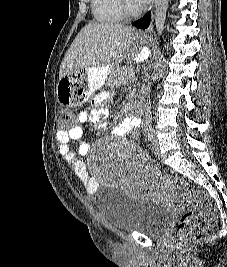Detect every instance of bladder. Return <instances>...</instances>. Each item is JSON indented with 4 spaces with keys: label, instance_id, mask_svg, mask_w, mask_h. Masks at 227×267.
<instances>
[{
    "label": "bladder",
    "instance_id": "31cf9c89",
    "mask_svg": "<svg viewBox=\"0 0 227 267\" xmlns=\"http://www.w3.org/2000/svg\"><path fill=\"white\" fill-rule=\"evenodd\" d=\"M100 209L106 222L123 232L161 235L173 218V210L153 199H138L116 187L104 186Z\"/></svg>",
    "mask_w": 227,
    "mask_h": 267
}]
</instances>
